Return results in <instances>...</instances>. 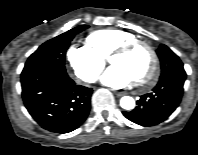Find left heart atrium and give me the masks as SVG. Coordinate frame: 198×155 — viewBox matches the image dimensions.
Listing matches in <instances>:
<instances>
[{"instance_id":"39dd6f15","label":"left heart atrium","mask_w":198,"mask_h":155,"mask_svg":"<svg viewBox=\"0 0 198 155\" xmlns=\"http://www.w3.org/2000/svg\"><path fill=\"white\" fill-rule=\"evenodd\" d=\"M101 81L106 86L119 89L133 84L134 78L123 67L113 65L105 71L101 77Z\"/></svg>"}]
</instances>
